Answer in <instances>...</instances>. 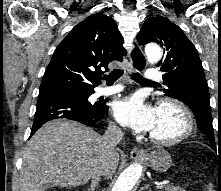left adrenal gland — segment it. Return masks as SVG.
Instances as JSON below:
<instances>
[{
    "mask_svg": "<svg viewBox=\"0 0 221 191\" xmlns=\"http://www.w3.org/2000/svg\"><path fill=\"white\" fill-rule=\"evenodd\" d=\"M145 189H147V190L149 189L150 190V185L146 184L144 187L141 188L140 191L145 190Z\"/></svg>",
    "mask_w": 221,
    "mask_h": 191,
    "instance_id": "obj_1",
    "label": "left adrenal gland"
}]
</instances>
